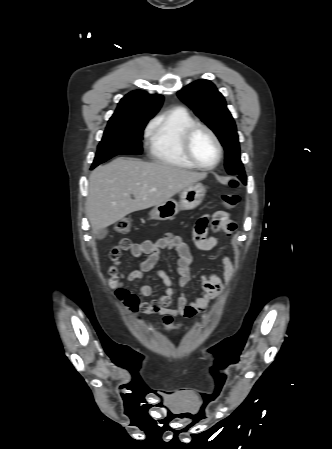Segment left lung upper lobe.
I'll list each match as a JSON object with an SVG mask.
<instances>
[{
	"mask_svg": "<svg viewBox=\"0 0 332 449\" xmlns=\"http://www.w3.org/2000/svg\"><path fill=\"white\" fill-rule=\"evenodd\" d=\"M177 95L217 135L225 149L227 172L246 184L236 125L223 95L211 81L204 79L190 83Z\"/></svg>",
	"mask_w": 332,
	"mask_h": 449,
	"instance_id": "obj_1",
	"label": "left lung upper lobe"
}]
</instances>
